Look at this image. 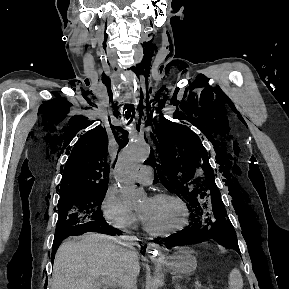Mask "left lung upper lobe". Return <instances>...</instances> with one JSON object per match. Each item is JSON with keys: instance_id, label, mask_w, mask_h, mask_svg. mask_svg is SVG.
<instances>
[{"instance_id": "1", "label": "left lung upper lobe", "mask_w": 289, "mask_h": 289, "mask_svg": "<svg viewBox=\"0 0 289 289\" xmlns=\"http://www.w3.org/2000/svg\"><path fill=\"white\" fill-rule=\"evenodd\" d=\"M162 124L152 135L155 148L147 161L157 168L155 178L189 202L193 222L212 226L216 241L238 252L236 233L222 210L214 172L199 137L186 126L166 119Z\"/></svg>"}]
</instances>
